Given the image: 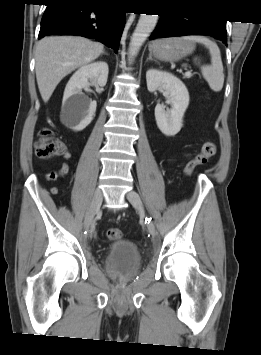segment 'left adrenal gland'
<instances>
[{
    "instance_id": "a2214340",
    "label": "left adrenal gland",
    "mask_w": 261,
    "mask_h": 355,
    "mask_svg": "<svg viewBox=\"0 0 261 355\" xmlns=\"http://www.w3.org/2000/svg\"><path fill=\"white\" fill-rule=\"evenodd\" d=\"M154 59L152 58V55L150 54L149 57L147 58V61H153Z\"/></svg>"
}]
</instances>
